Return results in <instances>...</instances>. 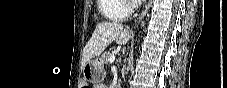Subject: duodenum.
I'll return each instance as SVG.
<instances>
[{
	"label": "duodenum",
	"instance_id": "1",
	"mask_svg": "<svg viewBox=\"0 0 227 88\" xmlns=\"http://www.w3.org/2000/svg\"><path fill=\"white\" fill-rule=\"evenodd\" d=\"M113 88H120V86L119 85H114Z\"/></svg>",
	"mask_w": 227,
	"mask_h": 88
}]
</instances>
